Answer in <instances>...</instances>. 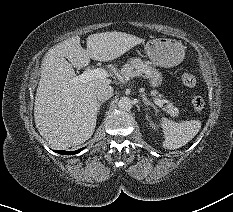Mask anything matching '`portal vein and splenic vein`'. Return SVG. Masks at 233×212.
Instances as JSON below:
<instances>
[{
    "mask_svg": "<svg viewBox=\"0 0 233 212\" xmlns=\"http://www.w3.org/2000/svg\"><path fill=\"white\" fill-rule=\"evenodd\" d=\"M106 77H108V73L106 70L102 68H96L83 72L81 75L76 76L72 80H70V82L73 84L86 83L94 79L106 78ZM154 102L159 107H162L164 104V102L159 98H154Z\"/></svg>",
    "mask_w": 233,
    "mask_h": 212,
    "instance_id": "1",
    "label": "portal vein and splenic vein"
}]
</instances>
